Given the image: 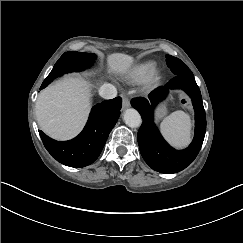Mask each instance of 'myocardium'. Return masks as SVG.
<instances>
[{
    "label": "myocardium",
    "mask_w": 243,
    "mask_h": 243,
    "mask_svg": "<svg viewBox=\"0 0 243 243\" xmlns=\"http://www.w3.org/2000/svg\"><path fill=\"white\" fill-rule=\"evenodd\" d=\"M155 77H156V74H155V75H153V76L151 77V79L149 80V82H150V83H153V82H154V80H155Z\"/></svg>",
    "instance_id": "1"
}]
</instances>
